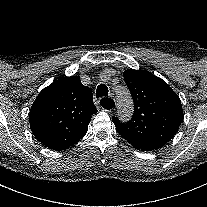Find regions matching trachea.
<instances>
[{
	"instance_id": "1",
	"label": "trachea",
	"mask_w": 207,
	"mask_h": 207,
	"mask_svg": "<svg viewBox=\"0 0 207 207\" xmlns=\"http://www.w3.org/2000/svg\"><path fill=\"white\" fill-rule=\"evenodd\" d=\"M107 95H108V88H107V86L104 85V84L99 85L97 90H96V97L100 98V97L107 96ZM112 102H113L112 99L103 98L100 103H101L102 107H106L108 104H110ZM112 107H114V106H112Z\"/></svg>"
}]
</instances>
